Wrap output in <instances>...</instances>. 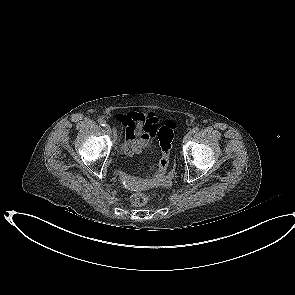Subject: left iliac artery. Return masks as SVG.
<instances>
[{
    "instance_id": "44dca946",
    "label": "left iliac artery",
    "mask_w": 295,
    "mask_h": 295,
    "mask_svg": "<svg viewBox=\"0 0 295 295\" xmlns=\"http://www.w3.org/2000/svg\"><path fill=\"white\" fill-rule=\"evenodd\" d=\"M198 131H199V128L198 127H195V128L192 129L191 133L194 134V133H197Z\"/></svg>"
}]
</instances>
